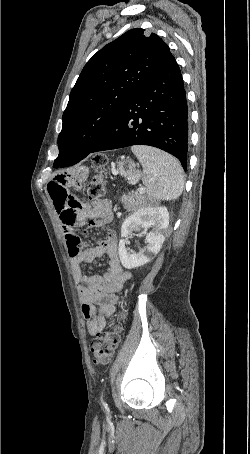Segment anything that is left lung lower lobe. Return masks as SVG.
Listing matches in <instances>:
<instances>
[{"label":"left lung lower lobe","instance_id":"0a47b994","mask_svg":"<svg viewBox=\"0 0 250 454\" xmlns=\"http://www.w3.org/2000/svg\"><path fill=\"white\" fill-rule=\"evenodd\" d=\"M148 145L179 159L187 169L188 107L183 79L172 56L121 109L89 152ZM86 156H61L54 167L72 166Z\"/></svg>","mask_w":250,"mask_h":454}]
</instances>
